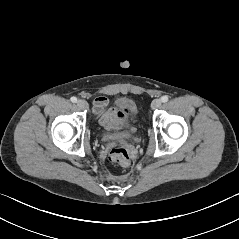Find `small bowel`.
I'll return each instance as SVG.
<instances>
[{"instance_id": "obj_1", "label": "small bowel", "mask_w": 239, "mask_h": 239, "mask_svg": "<svg viewBox=\"0 0 239 239\" xmlns=\"http://www.w3.org/2000/svg\"><path fill=\"white\" fill-rule=\"evenodd\" d=\"M94 112L100 124L108 131L121 129L129 113L126 108L109 107L108 99L103 96L94 100Z\"/></svg>"}]
</instances>
